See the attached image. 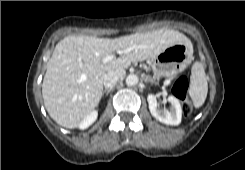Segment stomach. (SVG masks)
Instances as JSON below:
<instances>
[{
	"label": "stomach",
	"mask_w": 245,
	"mask_h": 170,
	"mask_svg": "<svg viewBox=\"0 0 245 170\" xmlns=\"http://www.w3.org/2000/svg\"><path fill=\"white\" fill-rule=\"evenodd\" d=\"M192 59V50L185 44H176L165 49L151 58L153 79L159 81L179 74L186 69Z\"/></svg>",
	"instance_id": "1"
}]
</instances>
